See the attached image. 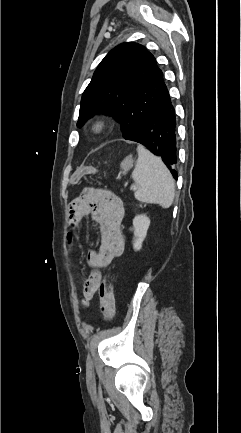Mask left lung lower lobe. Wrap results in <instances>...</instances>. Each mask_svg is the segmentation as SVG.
<instances>
[{"label":"left lung lower lobe","mask_w":241,"mask_h":433,"mask_svg":"<svg viewBox=\"0 0 241 433\" xmlns=\"http://www.w3.org/2000/svg\"><path fill=\"white\" fill-rule=\"evenodd\" d=\"M125 139L146 146L162 159L177 179V122L168 90L149 117Z\"/></svg>","instance_id":"obj_1"}]
</instances>
